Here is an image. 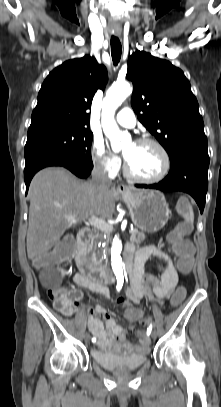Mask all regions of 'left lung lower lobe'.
I'll use <instances>...</instances> for the list:
<instances>
[{
  "label": "left lung lower lobe",
  "mask_w": 221,
  "mask_h": 407,
  "mask_svg": "<svg viewBox=\"0 0 221 407\" xmlns=\"http://www.w3.org/2000/svg\"><path fill=\"white\" fill-rule=\"evenodd\" d=\"M170 162L171 169L164 180L151 185L137 184L136 187L186 192L195 199L202 213L208 188L207 142H191L181 146Z\"/></svg>",
  "instance_id": "0a47b994"
}]
</instances>
